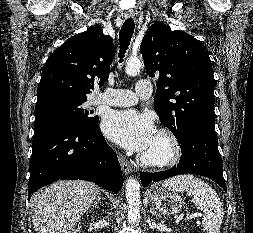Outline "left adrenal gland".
<instances>
[{"label": "left adrenal gland", "mask_w": 253, "mask_h": 233, "mask_svg": "<svg viewBox=\"0 0 253 233\" xmlns=\"http://www.w3.org/2000/svg\"><path fill=\"white\" fill-rule=\"evenodd\" d=\"M150 213H151L152 215H154V216H159V214L154 210L153 204H152L151 207H150Z\"/></svg>", "instance_id": "left-adrenal-gland-1"}]
</instances>
